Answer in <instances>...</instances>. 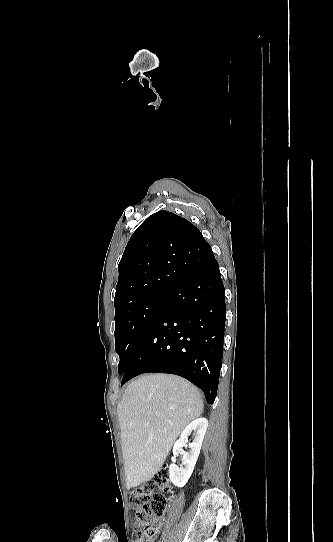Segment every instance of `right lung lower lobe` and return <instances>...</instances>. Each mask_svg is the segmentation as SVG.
<instances>
[{"mask_svg":"<svg viewBox=\"0 0 333 542\" xmlns=\"http://www.w3.org/2000/svg\"><path fill=\"white\" fill-rule=\"evenodd\" d=\"M160 258L184 272L168 292L130 364L121 386L148 372L176 374L201 388L213 403L223 357L225 290L210 245L193 252L166 249Z\"/></svg>","mask_w":333,"mask_h":542,"instance_id":"right-lung-lower-lobe-1","label":"right lung lower lobe"}]
</instances>
